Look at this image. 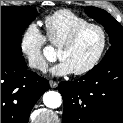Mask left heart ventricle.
Wrapping results in <instances>:
<instances>
[{
    "instance_id": "obj_1",
    "label": "left heart ventricle",
    "mask_w": 123,
    "mask_h": 123,
    "mask_svg": "<svg viewBox=\"0 0 123 123\" xmlns=\"http://www.w3.org/2000/svg\"><path fill=\"white\" fill-rule=\"evenodd\" d=\"M102 37L97 29L84 32L77 42L68 49L58 51L59 59L66 61L73 71L86 67L97 55Z\"/></svg>"
}]
</instances>
